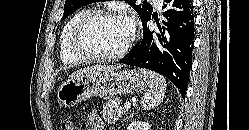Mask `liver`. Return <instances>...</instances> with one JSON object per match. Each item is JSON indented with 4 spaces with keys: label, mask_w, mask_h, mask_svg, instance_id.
Here are the masks:
<instances>
[{
    "label": "liver",
    "mask_w": 249,
    "mask_h": 130,
    "mask_svg": "<svg viewBox=\"0 0 249 130\" xmlns=\"http://www.w3.org/2000/svg\"><path fill=\"white\" fill-rule=\"evenodd\" d=\"M120 68L121 66H102V65L89 66L87 68H83L73 72L70 75V78H79L82 76H89L92 74L108 73L116 71Z\"/></svg>",
    "instance_id": "obj_1"
}]
</instances>
